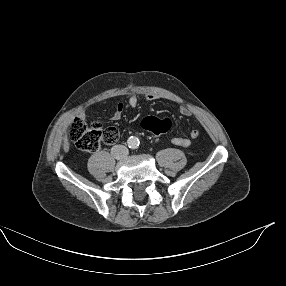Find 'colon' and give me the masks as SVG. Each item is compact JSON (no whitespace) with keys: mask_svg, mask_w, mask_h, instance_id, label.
Returning a JSON list of instances; mask_svg holds the SVG:
<instances>
[{"mask_svg":"<svg viewBox=\"0 0 286 286\" xmlns=\"http://www.w3.org/2000/svg\"><path fill=\"white\" fill-rule=\"evenodd\" d=\"M172 120L156 113L145 114L140 121L141 129L148 134L168 136L172 128ZM119 130L108 127L102 130L97 124H86L82 119L76 118L69 129L68 137L75 145L86 152L96 151L101 143L114 144L119 139Z\"/></svg>","mask_w":286,"mask_h":286,"instance_id":"obj_1","label":"colon"}]
</instances>
